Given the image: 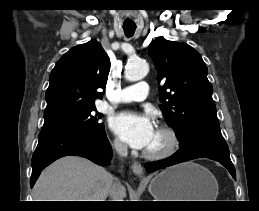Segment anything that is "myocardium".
Masks as SVG:
<instances>
[{
    "instance_id": "myocardium-1",
    "label": "myocardium",
    "mask_w": 259,
    "mask_h": 211,
    "mask_svg": "<svg viewBox=\"0 0 259 211\" xmlns=\"http://www.w3.org/2000/svg\"><path fill=\"white\" fill-rule=\"evenodd\" d=\"M157 131L163 133L166 142L165 145L158 150H144V157L152 160L163 159L171 156L179 146V137L176 130L168 124H161L157 127Z\"/></svg>"
}]
</instances>
